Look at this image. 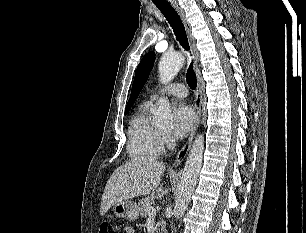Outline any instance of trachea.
Listing matches in <instances>:
<instances>
[{
	"label": "trachea",
	"instance_id": "obj_1",
	"mask_svg": "<svg viewBox=\"0 0 306 233\" xmlns=\"http://www.w3.org/2000/svg\"><path fill=\"white\" fill-rule=\"evenodd\" d=\"M156 7L163 13L165 18L167 19L168 23L172 27L176 39L180 42V45L188 50V39L185 32V27L177 14V12L174 10V8L170 4H156ZM186 80L191 89H195L197 86V79L196 74L193 70L192 63L190 64L187 74H186Z\"/></svg>",
	"mask_w": 306,
	"mask_h": 233
}]
</instances>
